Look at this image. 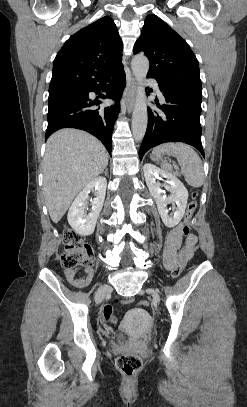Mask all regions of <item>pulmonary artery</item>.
Returning <instances> with one entry per match:
<instances>
[{
	"mask_svg": "<svg viewBox=\"0 0 247 407\" xmlns=\"http://www.w3.org/2000/svg\"><path fill=\"white\" fill-rule=\"evenodd\" d=\"M147 80H148V82H149L151 85L154 86V88L157 90L158 94H159L160 96H162V93H161V91H160V89H159V87H158L157 81H156L155 79H153V78H148Z\"/></svg>",
	"mask_w": 247,
	"mask_h": 407,
	"instance_id": "1",
	"label": "pulmonary artery"
}]
</instances>
